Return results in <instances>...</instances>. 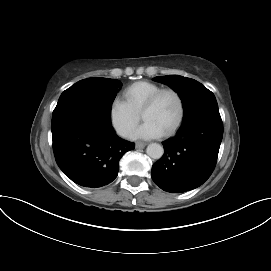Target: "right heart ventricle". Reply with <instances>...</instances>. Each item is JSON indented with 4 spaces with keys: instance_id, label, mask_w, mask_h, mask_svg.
Returning a JSON list of instances; mask_svg holds the SVG:
<instances>
[{
    "instance_id": "obj_1",
    "label": "right heart ventricle",
    "mask_w": 271,
    "mask_h": 271,
    "mask_svg": "<svg viewBox=\"0 0 271 271\" xmlns=\"http://www.w3.org/2000/svg\"><path fill=\"white\" fill-rule=\"evenodd\" d=\"M162 87L150 81H138L129 85L123 91L124 101L137 114L141 112L142 106L147 99Z\"/></svg>"
}]
</instances>
